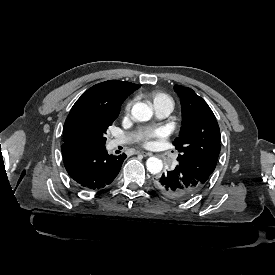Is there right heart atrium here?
<instances>
[{"instance_id": "1", "label": "right heart atrium", "mask_w": 275, "mask_h": 275, "mask_svg": "<svg viewBox=\"0 0 275 275\" xmlns=\"http://www.w3.org/2000/svg\"><path fill=\"white\" fill-rule=\"evenodd\" d=\"M130 108H131V103H129V104L127 105L126 111L129 112Z\"/></svg>"}]
</instances>
